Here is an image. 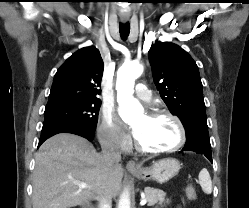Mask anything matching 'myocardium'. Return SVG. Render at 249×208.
<instances>
[{
    "label": "myocardium",
    "mask_w": 249,
    "mask_h": 208,
    "mask_svg": "<svg viewBox=\"0 0 249 208\" xmlns=\"http://www.w3.org/2000/svg\"><path fill=\"white\" fill-rule=\"evenodd\" d=\"M148 115L150 117H153V118L168 117V118L172 119L176 123V125L179 129L180 137H179V141L173 147H170L167 149H148V148L143 147L139 143V141L136 139L135 140V147L139 152L144 153V154H149V155L168 154V153H173V152L179 150L185 144L186 139H187V132H186V128L184 126V123L182 122V120L178 116H176L175 114H173L170 111L162 110V109L152 110L148 113Z\"/></svg>",
    "instance_id": "myocardium-1"
}]
</instances>
